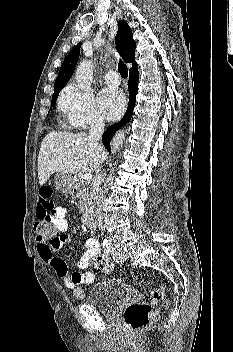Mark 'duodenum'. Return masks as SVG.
I'll use <instances>...</instances> for the list:
<instances>
[{"label":"duodenum","mask_w":233,"mask_h":352,"mask_svg":"<svg viewBox=\"0 0 233 352\" xmlns=\"http://www.w3.org/2000/svg\"><path fill=\"white\" fill-rule=\"evenodd\" d=\"M84 221L88 227H90V228L95 227L94 215H93V211L91 209H87L84 212Z\"/></svg>","instance_id":"duodenum-1"}]
</instances>
